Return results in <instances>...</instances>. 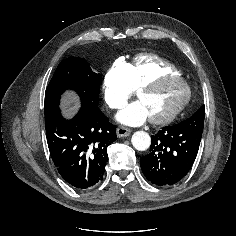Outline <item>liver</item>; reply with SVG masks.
<instances>
[{
    "mask_svg": "<svg viewBox=\"0 0 236 236\" xmlns=\"http://www.w3.org/2000/svg\"><path fill=\"white\" fill-rule=\"evenodd\" d=\"M64 104L68 107L67 111L69 112H72L78 108V103L75 96H66L64 99ZM66 116L68 115L66 114Z\"/></svg>",
    "mask_w": 236,
    "mask_h": 236,
    "instance_id": "6515ba94",
    "label": "liver"
}]
</instances>
